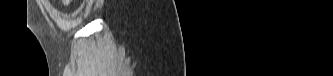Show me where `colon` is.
<instances>
[{"label":"colon","instance_id":"5ec220e1","mask_svg":"<svg viewBox=\"0 0 333 76\" xmlns=\"http://www.w3.org/2000/svg\"><path fill=\"white\" fill-rule=\"evenodd\" d=\"M63 2L67 4V3H69L70 1H69V0H64Z\"/></svg>","mask_w":333,"mask_h":76}]
</instances>
